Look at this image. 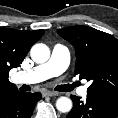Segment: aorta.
I'll use <instances>...</instances> for the list:
<instances>
[{"label":"aorta","mask_w":118,"mask_h":118,"mask_svg":"<svg viewBox=\"0 0 118 118\" xmlns=\"http://www.w3.org/2000/svg\"><path fill=\"white\" fill-rule=\"evenodd\" d=\"M30 56L36 63H45L50 58V49L43 43H38L32 46ZM72 100L68 97H60L56 101V108L62 113H68L72 109Z\"/></svg>","instance_id":"1"}]
</instances>
